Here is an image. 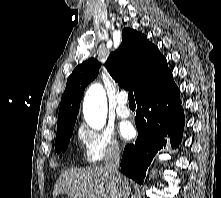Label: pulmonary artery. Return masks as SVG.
<instances>
[{"mask_svg": "<svg viewBox=\"0 0 221 198\" xmlns=\"http://www.w3.org/2000/svg\"><path fill=\"white\" fill-rule=\"evenodd\" d=\"M128 98L125 93H121L118 96V106L116 109L117 115L121 118H127L131 115V110L127 105Z\"/></svg>", "mask_w": 221, "mask_h": 198, "instance_id": "pulmonary-artery-1", "label": "pulmonary artery"}]
</instances>
